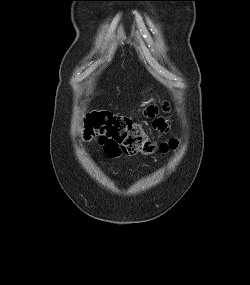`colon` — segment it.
<instances>
[{"instance_id": "obj_1", "label": "colon", "mask_w": 250, "mask_h": 285, "mask_svg": "<svg viewBox=\"0 0 250 285\" xmlns=\"http://www.w3.org/2000/svg\"><path fill=\"white\" fill-rule=\"evenodd\" d=\"M83 137L86 140L98 138L105 153L110 157L121 153L149 155L157 149L167 152L176 146L175 140L157 145L149 139L143 128L129 117L104 110H96L86 116Z\"/></svg>"}]
</instances>
